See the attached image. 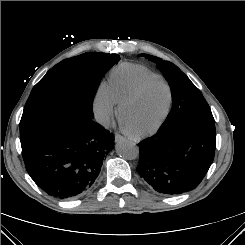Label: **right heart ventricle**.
I'll return each instance as SVG.
<instances>
[{
	"label": "right heart ventricle",
	"instance_id": "right-heart-ventricle-1",
	"mask_svg": "<svg viewBox=\"0 0 245 245\" xmlns=\"http://www.w3.org/2000/svg\"><path fill=\"white\" fill-rule=\"evenodd\" d=\"M156 75L145 66L124 63L112 70L108 85L114 99L120 104L144 79Z\"/></svg>",
	"mask_w": 245,
	"mask_h": 245
}]
</instances>
